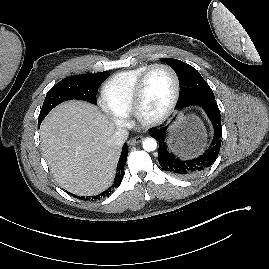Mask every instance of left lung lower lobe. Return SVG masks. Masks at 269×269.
Here are the masks:
<instances>
[{
  "label": "left lung lower lobe",
  "instance_id": "obj_1",
  "mask_svg": "<svg viewBox=\"0 0 269 269\" xmlns=\"http://www.w3.org/2000/svg\"><path fill=\"white\" fill-rule=\"evenodd\" d=\"M191 105L203 108L214 127L212 143L201 155L194 158H180L175 155L165 142L168 126L150 132L159 142L158 158L162 169L179 178H194L202 174L215 162L221 145V117L215 99H194L179 105L178 110Z\"/></svg>",
  "mask_w": 269,
  "mask_h": 269
}]
</instances>
